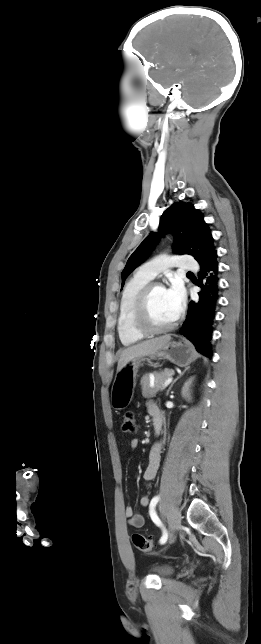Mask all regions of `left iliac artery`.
Listing matches in <instances>:
<instances>
[{"label": "left iliac artery", "instance_id": "1", "mask_svg": "<svg viewBox=\"0 0 261 644\" xmlns=\"http://www.w3.org/2000/svg\"><path fill=\"white\" fill-rule=\"evenodd\" d=\"M159 499H160V497H159V496H155V497H153V498H152V500H151V502H150V510H149V513H150V517H151L152 521H153L157 526H159V527H161V528H162L163 535H162V537L160 538V541H159V542H160V544H164V543L167 541V539H168V532H167V530L165 529V527L163 526V524H162L161 520L159 519V517L157 516V514H156V512H155V506H156V504L158 503Z\"/></svg>", "mask_w": 261, "mask_h": 644}]
</instances>
